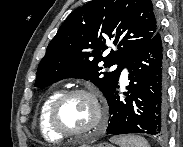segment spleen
I'll use <instances>...</instances> for the list:
<instances>
[{
	"instance_id": "spleen-1",
	"label": "spleen",
	"mask_w": 183,
	"mask_h": 147,
	"mask_svg": "<svg viewBox=\"0 0 183 147\" xmlns=\"http://www.w3.org/2000/svg\"><path fill=\"white\" fill-rule=\"evenodd\" d=\"M110 141L119 147H149L147 140L138 135L114 136Z\"/></svg>"
}]
</instances>
